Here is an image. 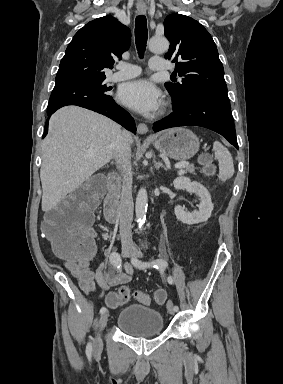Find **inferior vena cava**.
<instances>
[{"mask_svg": "<svg viewBox=\"0 0 283 384\" xmlns=\"http://www.w3.org/2000/svg\"><path fill=\"white\" fill-rule=\"evenodd\" d=\"M130 138L131 136L128 132H121L112 146L113 158L116 164H121L123 178L120 200V236L122 248H134L131 232L134 208L132 178H130L128 174L131 160Z\"/></svg>", "mask_w": 283, "mask_h": 384, "instance_id": "1", "label": "inferior vena cava"}]
</instances>
